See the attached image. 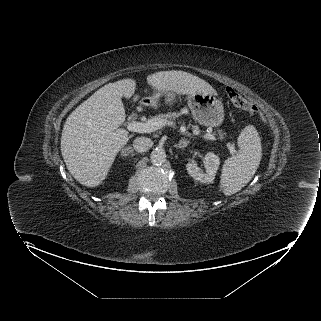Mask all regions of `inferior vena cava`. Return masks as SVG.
Listing matches in <instances>:
<instances>
[{
  "label": "inferior vena cava",
  "mask_w": 321,
  "mask_h": 321,
  "mask_svg": "<svg viewBox=\"0 0 321 321\" xmlns=\"http://www.w3.org/2000/svg\"><path fill=\"white\" fill-rule=\"evenodd\" d=\"M153 145V141L147 137H137L133 141V147L137 152H145L149 150Z\"/></svg>",
  "instance_id": "obj_1"
}]
</instances>
